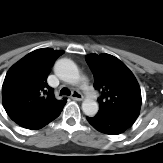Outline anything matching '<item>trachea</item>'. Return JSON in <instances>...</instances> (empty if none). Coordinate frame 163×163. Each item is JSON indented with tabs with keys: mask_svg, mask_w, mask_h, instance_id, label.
<instances>
[{
	"mask_svg": "<svg viewBox=\"0 0 163 163\" xmlns=\"http://www.w3.org/2000/svg\"><path fill=\"white\" fill-rule=\"evenodd\" d=\"M70 94H71V92H70V90L67 89V88H62V89L60 90V95H67V96H69Z\"/></svg>",
	"mask_w": 163,
	"mask_h": 163,
	"instance_id": "3493384b",
	"label": "trachea"
}]
</instances>
